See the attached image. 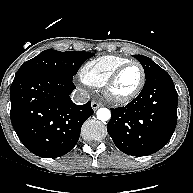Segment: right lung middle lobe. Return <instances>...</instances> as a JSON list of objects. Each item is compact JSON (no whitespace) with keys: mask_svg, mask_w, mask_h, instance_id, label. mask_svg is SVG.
<instances>
[{"mask_svg":"<svg viewBox=\"0 0 193 193\" xmlns=\"http://www.w3.org/2000/svg\"><path fill=\"white\" fill-rule=\"evenodd\" d=\"M94 53L84 51L45 50L19 68L15 77L30 73H46L62 76L73 80L80 66Z\"/></svg>","mask_w":193,"mask_h":193,"instance_id":"dd1d6c3e","label":"right lung middle lobe"}]
</instances>
